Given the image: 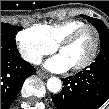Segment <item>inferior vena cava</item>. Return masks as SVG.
I'll return each mask as SVG.
<instances>
[{
	"label": "inferior vena cava",
	"instance_id": "1",
	"mask_svg": "<svg viewBox=\"0 0 109 109\" xmlns=\"http://www.w3.org/2000/svg\"><path fill=\"white\" fill-rule=\"evenodd\" d=\"M31 62L39 65L42 62V57L41 56H35V57L32 58Z\"/></svg>",
	"mask_w": 109,
	"mask_h": 109
}]
</instances>
